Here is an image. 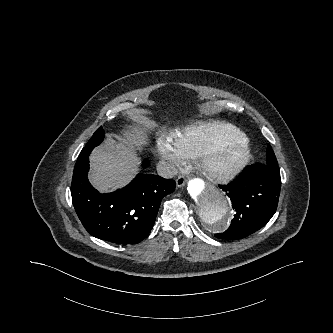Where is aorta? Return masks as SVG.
Wrapping results in <instances>:
<instances>
[{
  "label": "aorta",
  "mask_w": 333,
  "mask_h": 333,
  "mask_svg": "<svg viewBox=\"0 0 333 333\" xmlns=\"http://www.w3.org/2000/svg\"><path fill=\"white\" fill-rule=\"evenodd\" d=\"M188 192L197 218L213 229H219L229 215L226 196L216 186L197 179L189 181Z\"/></svg>",
  "instance_id": "obj_1"
}]
</instances>
